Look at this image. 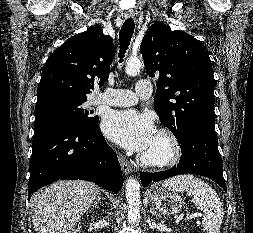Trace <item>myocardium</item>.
<instances>
[{
	"label": "myocardium",
	"instance_id": "obj_1",
	"mask_svg": "<svg viewBox=\"0 0 253 233\" xmlns=\"http://www.w3.org/2000/svg\"><path fill=\"white\" fill-rule=\"evenodd\" d=\"M156 136L164 141L166 150L161 155L141 154L139 162L147 167L166 168L175 165L182 156V147L177 135L168 128H160Z\"/></svg>",
	"mask_w": 253,
	"mask_h": 233
}]
</instances>
